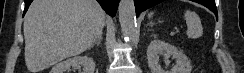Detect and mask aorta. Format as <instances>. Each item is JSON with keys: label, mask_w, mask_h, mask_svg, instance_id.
<instances>
[{"label": "aorta", "mask_w": 244, "mask_h": 73, "mask_svg": "<svg viewBox=\"0 0 244 73\" xmlns=\"http://www.w3.org/2000/svg\"><path fill=\"white\" fill-rule=\"evenodd\" d=\"M118 11L122 33L125 38H131L136 29L134 0H121Z\"/></svg>", "instance_id": "1"}]
</instances>
